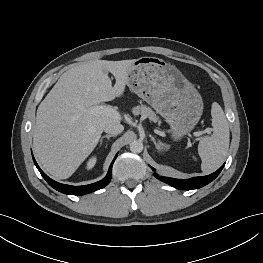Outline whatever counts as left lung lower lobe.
Returning <instances> with one entry per match:
<instances>
[{
    "instance_id": "left-lung-lower-lobe-1",
    "label": "left lung lower lobe",
    "mask_w": 263,
    "mask_h": 263,
    "mask_svg": "<svg viewBox=\"0 0 263 263\" xmlns=\"http://www.w3.org/2000/svg\"><path fill=\"white\" fill-rule=\"evenodd\" d=\"M223 167L224 165L221 166L216 172L210 175L201 176V177H193V178L186 179V180H179V179H173L169 177H163V176H159L156 173H154V175L158 180H161L162 182H165L174 188H177L180 190H192V189L201 188L207 185L208 183H210L211 181H213L219 175ZM152 169L155 170L154 168Z\"/></svg>"
}]
</instances>
